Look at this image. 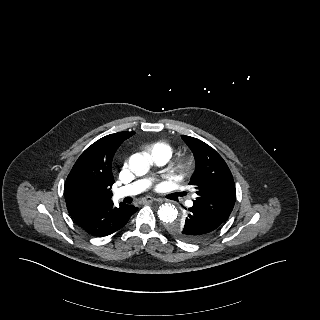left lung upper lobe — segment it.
<instances>
[{"mask_svg":"<svg viewBox=\"0 0 320 320\" xmlns=\"http://www.w3.org/2000/svg\"><path fill=\"white\" fill-rule=\"evenodd\" d=\"M182 139L192 150L196 161V170L189 182L198 196L194 206L222 222L227 221L235 204L236 189L226 162L203 141L186 135H182ZM169 230L182 241H197L186 233L183 220L171 223Z\"/></svg>","mask_w":320,"mask_h":320,"instance_id":"1","label":"left lung upper lobe"}]
</instances>
